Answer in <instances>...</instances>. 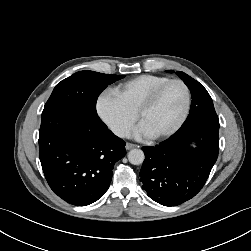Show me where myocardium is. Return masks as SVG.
I'll return each instance as SVG.
<instances>
[{"label":"myocardium","instance_id":"1","mask_svg":"<svg viewBox=\"0 0 251 251\" xmlns=\"http://www.w3.org/2000/svg\"><path fill=\"white\" fill-rule=\"evenodd\" d=\"M180 84L184 91H185V104H184V108L182 110V113L180 115V117L178 118V120L176 121V123L167 131L158 134V135H154L151 136V139L153 140H164L167 139L169 137H171L172 135H174L184 124L189 110H190V106H191V91L188 87V85L181 79H169L168 81L164 82L163 84H161L160 86H158L155 90H153L150 95L141 103V105L139 106V108L137 109L136 112V117L137 120L140 122L142 115L148 111L150 108H152L155 103L157 102V100L159 99L160 95L163 93V91L171 84Z\"/></svg>","mask_w":251,"mask_h":251}]
</instances>
